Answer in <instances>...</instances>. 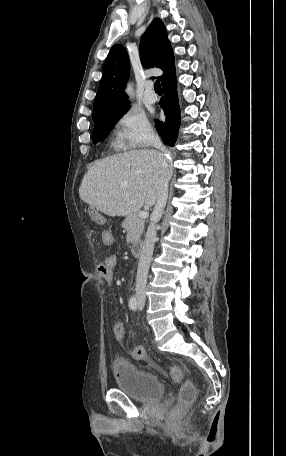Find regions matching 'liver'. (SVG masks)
Segmentation results:
<instances>
[{"label": "liver", "instance_id": "1", "mask_svg": "<svg viewBox=\"0 0 286 456\" xmlns=\"http://www.w3.org/2000/svg\"><path fill=\"white\" fill-rule=\"evenodd\" d=\"M166 157L153 149L133 150L97 160L84 175L80 198L108 216H126L155 205Z\"/></svg>", "mask_w": 286, "mask_h": 456}]
</instances>
